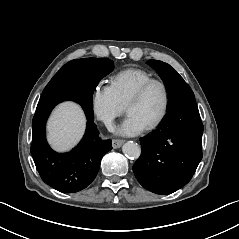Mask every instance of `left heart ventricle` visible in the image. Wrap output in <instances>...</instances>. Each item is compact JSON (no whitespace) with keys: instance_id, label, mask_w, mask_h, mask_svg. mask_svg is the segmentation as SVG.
<instances>
[{"instance_id":"obj_1","label":"left heart ventricle","mask_w":239,"mask_h":239,"mask_svg":"<svg viewBox=\"0 0 239 239\" xmlns=\"http://www.w3.org/2000/svg\"><path fill=\"white\" fill-rule=\"evenodd\" d=\"M164 107V91L160 85H153L138 102L128 108L129 114L136 115L148 126L161 114Z\"/></svg>"}]
</instances>
